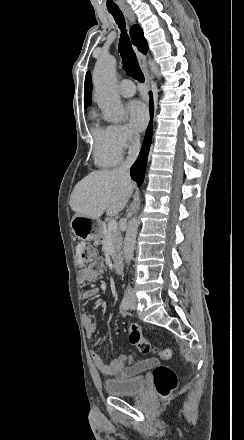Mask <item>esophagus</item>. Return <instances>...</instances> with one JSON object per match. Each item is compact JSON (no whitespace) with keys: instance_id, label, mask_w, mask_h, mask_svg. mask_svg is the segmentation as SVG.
I'll list each match as a JSON object with an SVG mask.
<instances>
[{"instance_id":"1","label":"esophagus","mask_w":244,"mask_h":440,"mask_svg":"<svg viewBox=\"0 0 244 440\" xmlns=\"http://www.w3.org/2000/svg\"><path fill=\"white\" fill-rule=\"evenodd\" d=\"M122 11L124 12L125 16L128 18V20L134 24L136 22L135 20V15L132 12L131 8L129 7H121ZM137 58H138V62H139V66L141 67L143 73H144V77H145V86L147 88V90H150V75L147 69V64H146V57L145 55L141 54L140 52L137 51Z\"/></svg>"}]
</instances>
